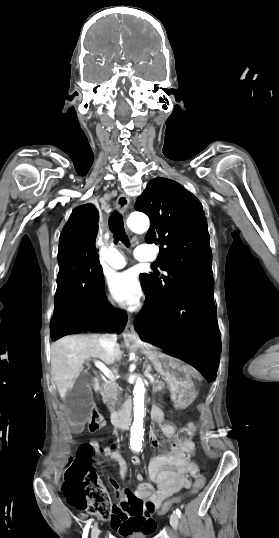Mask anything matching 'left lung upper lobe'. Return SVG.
<instances>
[{
  "mask_svg": "<svg viewBox=\"0 0 279 538\" xmlns=\"http://www.w3.org/2000/svg\"><path fill=\"white\" fill-rule=\"evenodd\" d=\"M135 208L149 216L151 227L145 239L147 243L160 244V269L167 272L161 276L157 270L140 274L146 294L142 313L153 315L179 291L212 279L207 221L193 194L162 177L148 183Z\"/></svg>",
  "mask_w": 279,
  "mask_h": 538,
  "instance_id": "5c2ea615",
  "label": "left lung upper lobe"
}]
</instances>
